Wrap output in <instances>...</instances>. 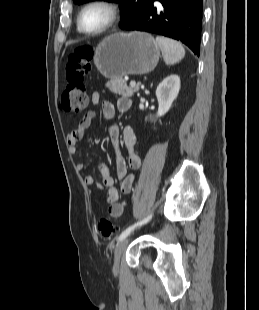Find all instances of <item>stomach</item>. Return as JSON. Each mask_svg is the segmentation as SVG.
I'll return each instance as SVG.
<instances>
[{"instance_id": "0dacf381", "label": "stomach", "mask_w": 259, "mask_h": 310, "mask_svg": "<svg viewBox=\"0 0 259 310\" xmlns=\"http://www.w3.org/2000/svg\"><path fill=\"white\" fill-rule=\"evenodd\" d=\"M160 58V47L147 33H114L105 37L94 51V63L106 78L152 71Z\"/></svg>"}]
</instances>
